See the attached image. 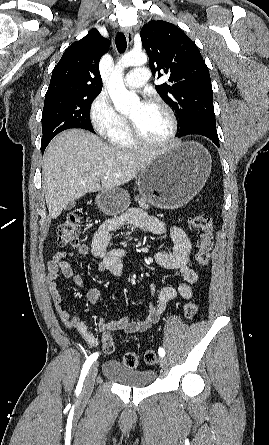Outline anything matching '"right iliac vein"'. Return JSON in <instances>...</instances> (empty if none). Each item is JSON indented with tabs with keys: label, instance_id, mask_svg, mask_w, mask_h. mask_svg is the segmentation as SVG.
<instances>
[{
	"label": "right iliac vein",
	"instance_id": "63e3f726",
	"mask_svg": "<svg viewBox=\"0 0 269 445\" xmlns=\"http://www.w3.org/2000/svg\"><path fill=\"white\" fill-rule=\"evenodd\" d=\"M97 371H98V363H94L91 366L84 383V387L81 394L83 398H88L91 395L94 388Z\"/></svg>",
	"mask_w": 269,
	"mask_h": 445
}]
</instances>
